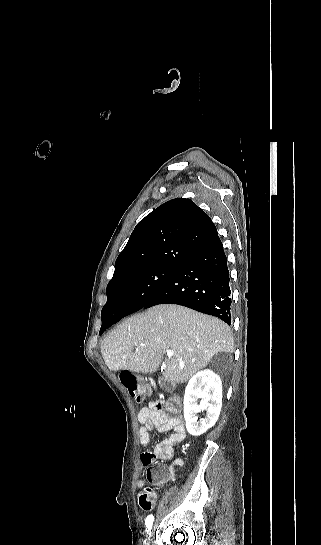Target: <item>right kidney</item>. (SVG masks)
<instances>
[{
	"mask_svg": "<svg viewBox=\"0 0 321 545\" xmlns=\"http://www.w3.org/2000/svg\"><path fill=\"white\" fill-rule=\"evenodd\" d=\"M198 399H202L201 405H197ZM183 405L189 435L200 437L211 429L222 407V383L219 375H215L210 369L196 373L185 389ZM200 411H206L205 419L197 417Z\"/></svg>",
	"mask_w": 321,
	"mask_h": 545,
	"instance_id": "right-kidney-1",
	"label": "right kidney"
}]
</instances>
